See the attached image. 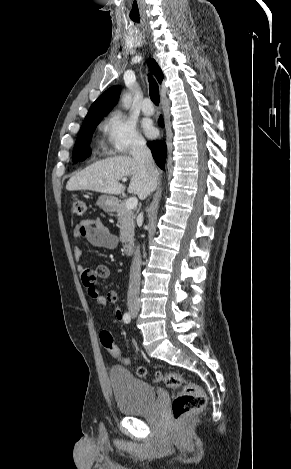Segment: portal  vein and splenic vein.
Returning a JSON list of instances; mask_svg holds the SVG:
<instances>
[{
    "label": "portal vein and splenic vein",
    "mask_w": 291,
    "mask_h": 469,
    "mask_svg": "<svg viewBox=\"0 0 291 469\" xmlns=\"http://www.w3.org/2000/svg\"><path fill=\"white\" fill-rule=\"evenodd\" d=\"M126 180H127L126 178L122 179L123 182H125ZM137 204H138V199L135 197H131L126 201V207L129 210H133L134 208H136Z\"/></svg>",
    "instance_id": "obj_1"
}]
</instances>
